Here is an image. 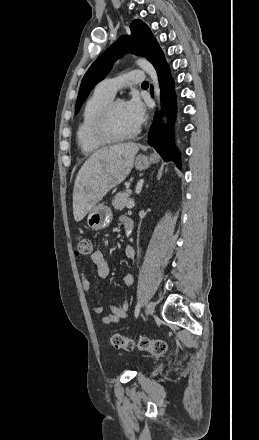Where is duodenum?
<instances>
[{
    "instance_id": "410a0bca",
    "label": "duodenum",
    "mask_w": 259,
    "mask_h": 440,
    "mask_svg": "<svg viewBox=\"0 0 259 440\" xmlns=\"http://www.w3.org/2000/svg\"><path fill=\"white\" fill-rule=\"evenodd\" d=\"M134 228V223L132 221V219L128 218L125 222H124V230L127 234H131Z\"/></svg>"
}]
</instances>
